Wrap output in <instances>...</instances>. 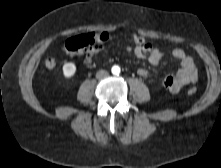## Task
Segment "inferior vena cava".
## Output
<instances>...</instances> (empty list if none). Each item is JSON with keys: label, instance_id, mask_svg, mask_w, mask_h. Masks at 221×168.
Here are the masks:
<instances>
[{"label": "inferior vena cava", "instance_id": "obj_1", "mask_svg": "<svg viewBox=\"0 0 221 168\" xmlns=\"http://www.w3.org/2000/svg\"><path fill=\"white\" fill-rule=\"evenodd\" d=\"M108 72L106 70H99L97 73H96V78L97 79H101V78H104L106 76H108Z\"/></svg>", "mask_w": 221, "mask_h": 168}]
</instances>
